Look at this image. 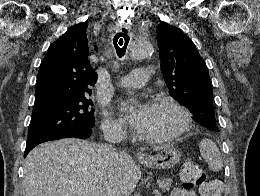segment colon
I'll list each match as a JSON object with an SVG mask.
<instances>
[{
	"instance_id": "colon-1",
	"label": "colon",
	"mask_w": 260,
	"mask_h": 196,
	"mask_svg": "<svg viewBox=\"0 0 260 196\" xmlns=\"http://www.w3.org/2000/svg\"><path fill=\"white\" fill-rule=\"evenodd\" d=\"M180 179L187 188L202 187L208 184L206 175L195 161L186 160L181 168ZM217 196L220 193L215 192Z\"/></svg>"
}]
</instances>
